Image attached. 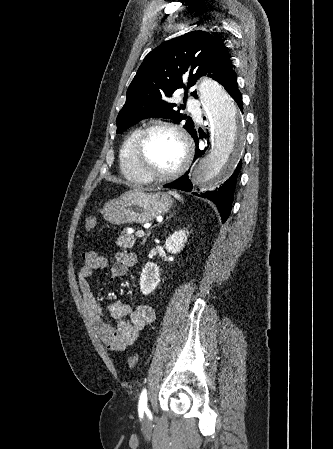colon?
I'll return each mask as SVG.
<instances>
[{"mask_svg":"<svg viewBox=\"0 0 333 449\" xmlns=\"http://www.w3.org/2000/svg\"><path fill=\"white\" fill-rule=\"evenodd\" d=\"M96 223H97V219L95 216L88 217L84 224L85 229L87 231L92 230L96 226ZM138 361H139L138 355H136V354L130 355L127 360L128 367L131 369L135 368L138 365Z\"/></svg>","mask_w":333,"mask_h":449,"instance_id":"1","label":"colon"}]
</instances>
